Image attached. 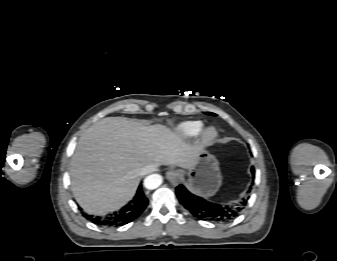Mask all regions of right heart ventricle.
<instances>
[{"mask_svg":"<svg viewBox=\"0 0 337 261\" xmlns=\"http://www.w3.org/2000/svg\"><path fill=\"white\" fill-rule=\"evenodd\" d=\"M204 123L199 120H190L180 123L176 127L177 135L182 139H192L201 134Z\"/></svg>","mask_w":337,"mask_h":261,"instance_id":"obj_1","label":"right heart ventricle"}]
</instances>
